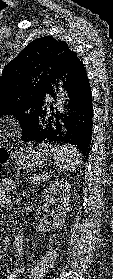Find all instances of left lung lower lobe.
I'll use <instances>...</instances> for the list:
<instances>
[{
	"label": "left lung lower lobe",
	"mask_w": 113,
	"mask_h": 279,
	"mask_svg": "<svg viewBox=\"0 0 113 279\" xmlns=\"http://www.w3.org/2000/svg\"><path fill=\"white\" fill-rule=\"evenodd\" d=\"M59 80L68 93V103L59 110L56 96ZM42 104L35 109L32 128L22 134L25 142L69 144L88 158L92 135L91 87L83 63L73 52L58 72L54 82L44 91Z\"/></svg>",
	"instance_id": "obj_1"
}]
</instances>
